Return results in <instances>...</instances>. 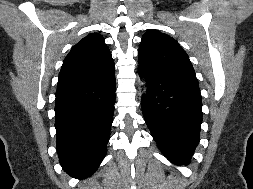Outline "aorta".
I'll return each mask as SVG.
<instances>
[{"label":"aorta","instance_id":"aorta-1","mask_svg":"<svg viewBox=\"0 0 253 189\" xmlns=\"http://www.w3.org/2000/svg\"><path fill=\"white\" fill-rule=\"evenodd\" d=\"M140 84L143 87V91L145 92L146 91V82H145V80L144 79L140 80Z\"/></svg>","mask_w":253,"mask_h":189}]
</instances>
